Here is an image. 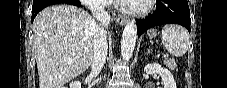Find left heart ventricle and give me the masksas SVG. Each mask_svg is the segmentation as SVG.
Masks as SVG:
<instances>
[{"instance_id": "b2bd125f", "label": "left heart ventricle", "mask_w": 227, "mask_h": 88, "mask_svg": "<svg viewBox=\"0 0 227 88\" xmlns=\"http://www.w3.org/2000/svg\"><path fill=\"white\" fill-rule=\"evenodd\" d=\"M137 4H143V1H139Z\"/></svg>"}]
</instances>
